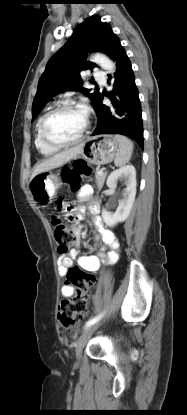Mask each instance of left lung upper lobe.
<instances>
[{
    "instance_id": "1",
    "label": "left lung upper lobe",
    "mask_w": 187,
    "mask_h": 415,
    "mask_svg": "<svg viewBox=\"0 0 187 415\" xmlns=\"http://www.w3.org/2000/svg\"><path fill=\"white\" fill-rule=\"evenodd\" d=\"M116 35L111 28L100 21L98 16H91L78 25L70 40L48 61L38 83L37 93L32 104V121L50 99L65 90L80 91L89 94V89L81 86L83 80L80 72L93 69L97 65L87 61V53L100 51L109 55ZM93 78L90 80L93 83ZM101 93L89 94L92 105L98 102Z\"/></svg>"
}]
</instances>
